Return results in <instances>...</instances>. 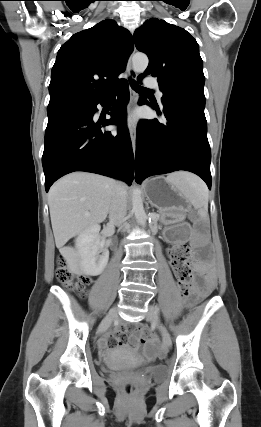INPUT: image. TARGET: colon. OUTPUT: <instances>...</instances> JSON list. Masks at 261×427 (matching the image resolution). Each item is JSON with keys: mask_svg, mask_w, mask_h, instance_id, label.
Returning a JSON list of instances; mask_svg holds the SVG:
<instances>
[{"mask_svg": "<svg viewBox=\"0 0 261 427\" xmlns=\"http://www.w3.org/2000/svg\"><path fill=\"white\" fill-rule=\"evenodd\" d=\"M188 255L189 249L186 245H175L169 250L172 269L184 294H186L187 287L192 279L191 269L187 261ZM56 275L60 283L79 292H83L86 286L90 283V279L88 277L83 275L77 276L64 257H60L58 261ZM139 326L140 327L137 332L140 334L141 341L143 343L151 341V333L144 326ZM124 389L128 395H131L136 391V384L134 382H127Z\"/></svg>", "mask_w": 261, "mask_h": 427, "instance_id": "1", "label": "colon"}]
</instances>
